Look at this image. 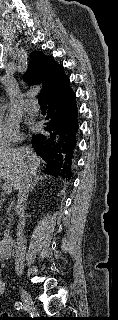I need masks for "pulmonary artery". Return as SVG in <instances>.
Returning <instances> with one entry per match:
<instances>
[{
	"label": "pulmonary artery",
	"instance_id": "pulmonary-artery-1",
	"mask_svg": "<svg viewBox=\"0 0 118 320\" xmlns=\"http://www.w3.org/2000/svg\"><path fill=\"white\" fill-rule=\"evenodd\" d=\"M23 109L27 112V113H36L39 110V106L35 101L32 100H27L24 102L23 104Z\"/></svg>",
	"mask_w": 118,
	"mask_h": 320
}]
</instances>
